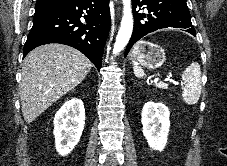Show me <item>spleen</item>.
<instances>
[{
  "instance_id": "obj_1",
  "label": "spleen",
  "mask_w": 227,
  "mask_h": 166,
  "mask_svg": "<svg viewBox=\"0 0 227 166\" xmlns=\"http://www.w3.org/2000/svg\"><path fill=\"white\" fill-rule=\"evenodd\" d=\"M133 71L136 77H145V73L138 64H134ZM184 88L182 98L188 105H194L198 102L201 95V69L197 62H192L182 73Z\"/></svg>"
}]
</instances>
